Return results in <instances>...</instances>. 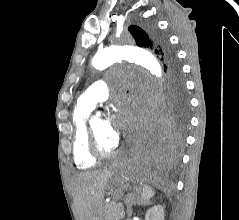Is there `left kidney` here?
Instances as JSON below:
<instances>
[{
	"label": "left kidney",
	"instance_id": "1",
	"mask_svg": "<svg viewBox=\"0 0 239 220\" xmlns=\"http://www.w3.org/2000/svg\"><path fill=\"white\" fill-rule=\"evenodd\" d=\"M164 207L161 205H155L148 209L145 215V220H164Z\"/></svg>",
	"mask_w": 239,
	"mask_h": 220
}]
</instances>
